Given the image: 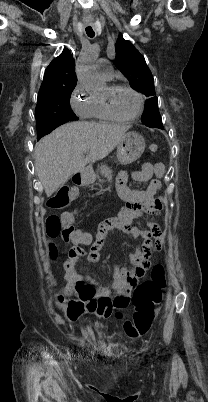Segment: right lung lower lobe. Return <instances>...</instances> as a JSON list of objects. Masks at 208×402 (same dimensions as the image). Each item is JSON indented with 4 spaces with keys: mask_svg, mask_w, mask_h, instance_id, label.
I'll list each match as a JSON object with an SVG mask.
<instances>
[{
    "mask_svg": "<svg viewBox=\"0 0 208 402\" xmlns=\"http://www.w3.org/2000/svg\"><path fill=\"white\" fill-rule=\"evenodd\" d=\"M61 124H64V122L56 119H47L37 123V130L46 135L55 128H57L58 126H60Z\"/></svg>",
    "mask_w": 208,
    "mask_h": 402,
    "instance_id": "1",
    "label": "right lung lower lobe"
}]
</instances>
